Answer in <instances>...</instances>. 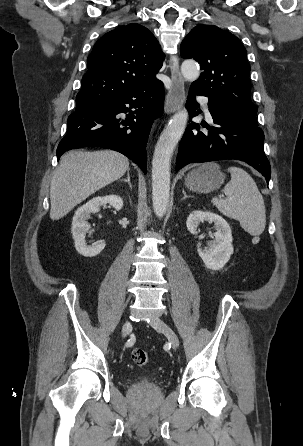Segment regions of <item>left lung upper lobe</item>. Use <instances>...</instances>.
I'll return each instance as SVG.
<instances>
[{"instance_id":"left-lung-upper-lobe-1","label":"left lung upper lobe","mask_w":303,"mask_h":446,"mask_svg":"<svg viewBox=\"0 0 303 446\" xmlns=\"http://www.w3.org/2000/svg\"><path fill=\"white\" fill-rule=\"evenodd\" d=\"M180 53L183 58H194L203 70L192 88L227 103L258 124L257 107L250 98L246 49L236 36L214 25H198L184 38Z\"/></svg>"}]
</instances>
